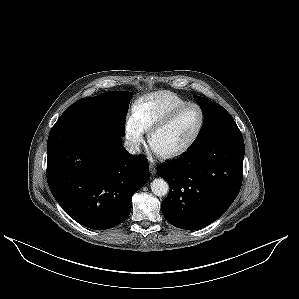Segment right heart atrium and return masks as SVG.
<instances>
[{
  "instance_id": "obj_1",
  "label": "right heart atrium",
  "mask_w": 299,
  "mask_h": 299,
  "mask_svg": "<svg viewBox=\"0 0 299 299\" xmlns=\"http://www.w3.org/2000/svg\"><path fill=\"white\" fill-rule=\"evenodd\" d=\"M146 129L134 114L128 115L125 122V137L133 152H138L144 141Z\"/></svg>"
}]
</instances>
